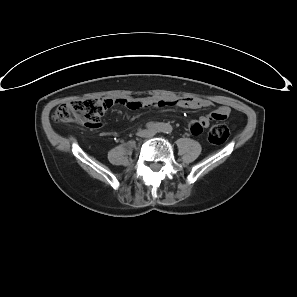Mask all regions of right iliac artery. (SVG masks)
Segmentation results:
<instances>
[{
	"mask_svg": "<svg viewBox=\"0 0 297 297\" xmlns=\"http://www.w3.org/2000/svg\"><path fill=\"white\" fill-rule=\"evenodd\" d=\"M156 128L161 131L164 128V124L163 123H157Z\"/></svg>",
	"mask_w": 297,
	"mask_h": 297,
	"instance_id": "right-iliac-artery-1",
	"label": "right iliac artery"
}]
</instances>
